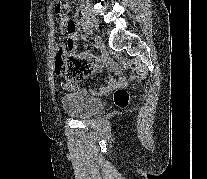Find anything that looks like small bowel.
<instances>
[{
	"label": "small bowel",
	"mask_w": 207,
	"mask_h": 179,
	"mask_svg": "<svg viewBox=\"0 0 207 179\" xmlns=\"http://www.w3.org/2000/svg\"><path fill=\"white\" fill-rule=\"evenodd\" d=\"M60 27H61L62 32L63 31L68 32L69 47L71 50H75L76 41L78 39V34L76 31L77 29L76 24L72 20H70L68 16H65V17H61ZM87 61L91 67L92 72L97 71V70L101 71L104 69H108L110 71H113L115 74L119 76L118 79L113 78V77H108L104 84H102L101 86L93 90L95 93L99 95H104L111 89H114L116 87L123 86L126 84L127 80L123 75V70L121 66L116 61H113L112 59H110L108 56L101 55L95 59H88ZM65 87L70 88L72 87V85L66 84Z\"/></svg>",
	"instance_id": "small-bowel-1"
}]
</instances>
